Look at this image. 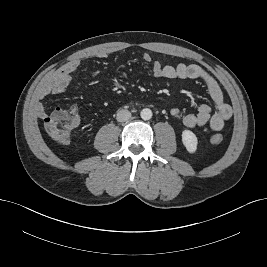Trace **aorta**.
<instances>
[{
  "instance_id": "1",
  "label": "aorta",
  "mask_w": 267,
  "mask_h": 267,
  "mask_svg": "<svg viewBox=\"0 0 267 267\" xmlns=\"http://www.w3.org/2000/svg\"><path fill=\"white\" fill-rule=\"evenodd\" d=\"M140 116L143 120H149L152 117V111L149 108H144L141 110Z\"/></svg>"
}]
</instances>
